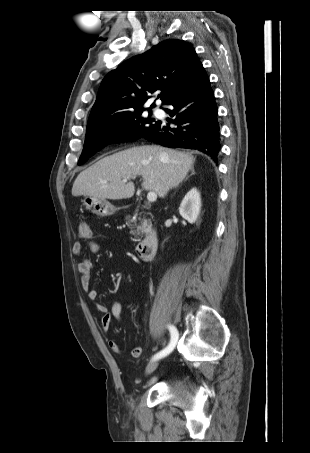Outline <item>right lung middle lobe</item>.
I'll use <instances>...</instances> for the list:
<instances>
[{"mask_svg": "<svg viewBox=\"0 0 310 453\" xmlns=\"http://www.w3.org/2000/svg\"><path fill=\"white\" fill-rule=\"evenodd\" d=\"M142 111H135L88 127L78 164H83L111 142L136 140L143 137L157 122L151 118V111L148 117H143Z\"/></svg>", "mask_w": 310, "mask_h": 453, "instance_id": "obj_1", "label": "right lung middle lobe"}]
</instances>
